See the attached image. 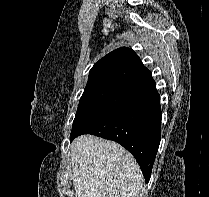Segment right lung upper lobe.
I'll list each match as a JSON object with an SVG mask.
<instances>
[{
  "mask_svg": "<svg viewBox=\"0 0 209 197\" xmlns=\"http://www.w3.org/2000/svg\"><path fill=\"white\" fill-rule=\"evenodd\" d=\"M88 82H112L138 92L156 86L151 72L136 53L127 47L118 48L95 63L90 70Z\"/></svg>",
  "mask_w": 209,
  "mask_h": 197,
  "instance_id": "right-lung-upper-lobe-1",
  "label": "right lung upper lobe"
}]
</instances>
